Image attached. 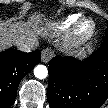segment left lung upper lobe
Here are the masks:
<instances>
[{"instance_id":"5c2ea615","label":"left lung upper lobe","mask_w":108,"mask_h":108,"mask_svg":"<svg viewBox=\"0 0 108 108\" xmlns=\"http://www.w3.org/2000/svg\"><path fill=\"white\" fill-rule=\"evenodd\" d=\"M108 37V29L106 30L105 38Z\"/></svg>"}]
</instances>
